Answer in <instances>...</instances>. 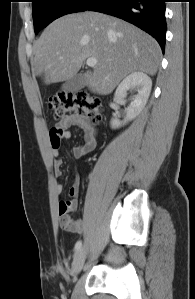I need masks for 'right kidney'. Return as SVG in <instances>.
I'll use <instances>...</instances> for the list:
<instances>
[{"label":"right kidney","mask_w":195,"mask_h":299,"mask_svg":"<svg viewBox=\"0 0 195 299\" xmlns=\"http://www.w3.org/2000/svg\"><path fill=\"white\" fill-rule=\"evenodd\" d=\"M152 87V81L148 75L143 72H133L128 75L123 81L118 85L114 100H123L129 89H134L137 94L132 98L131 103L126 109V116L123 121L117 118L111 120V127L113 129L119 128L129 121L135 119L141 111L144 109Z\"/></svg>","instance_id":"right-kidney-1"}]
</instances>
